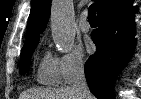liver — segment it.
Returning <instances> with one entry per match:
<instances>
[{"mask_svg": "<svg viewBox=\"0 0 141 99\" xmlns=\"http://www.w3.org/2000/svg\"><path fill=\"white\" fill-rule=\"evenodd\" d=\"M19 99H80L72 86L57 89L31 88L20 94Z\"/></svg>", "mask_w": 141, "mask_h": 99, "instance_id": "6515ba94", "label": "liver"}]
</instances>
